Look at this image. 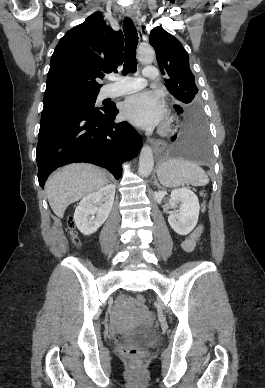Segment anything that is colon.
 Masks as SVG:
<instances>
[{
    "label": "colon",
    "mask_w": 265,
    "mask_h": 388,
    "mask_svg": "<svg viewBox=\"0 0 265 388\" xmlns=\"http://www.w3.org/2000/svg\"><path fill=\"white\" fill-rule=\"evenodd\" d=\"M68 224L70 227H72L71 221H69ZM72 238H73L74 244L78 245V240L76 239V237L73 236ZM135 302L138 306H144L146 303V298L144 295L138 294L135 297ZM123 354L133 362H139L140 358H141V351L139 349H136V348H125V349H123Z\"/></svg>",
    "instance_id": "5ec220e1"
}]
</instances>
